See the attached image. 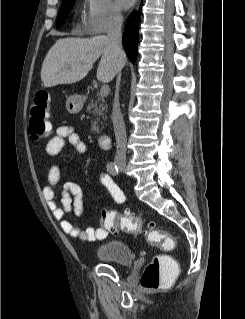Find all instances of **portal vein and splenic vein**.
Returning a JSON list of instances; mask_svg holds the SVG:
<instances>
[{
  "label": "portal vein and splenic vein",
  "instance_id": "obj_1",
  "mask_svg": "<svg viewBox=\"0 0 245 319\" xmlns=\"http://www.w3.org/2000/svg\"><path fill=\"white\" fill-rule=\"evenodd\" d=\"M109 86L108 85H103L102 87H101V89H100V94H101V96H107L108 95V93H109Z\"/></svg>",
  "mask_w": 245,
  "mask_h": 319
}]
</instances>
